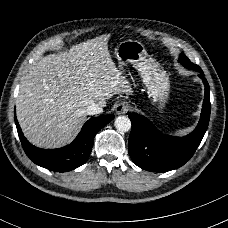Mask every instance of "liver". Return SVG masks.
<instances>
[{"label": "liver", "instance_id": "obj_1", "mask_svg": "<svg viewBox=\"0 0 228 228\" xmlns=\"http://www.w3.org/2000/svg\"><path fill=\"white\" fill-rule=\"evenodd\" d=\"M105 34L41 58L23 77L17 119L32 144L56 148L70 143L86 121L87 106L129 92V82L108 51Z\"/></svg>", "mask_w": 228, "mask_h": 228}]
</instances>
